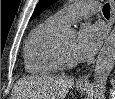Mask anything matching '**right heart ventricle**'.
Segmentation results:
<instances>
[{
  "label": "right heart ventricle",
  "mask_w": 115,
  "mask_h": 99,
  "mask_svg": "<svg viewBox=\"0 0 115 99\" xmlns=\"http://www.w3.org/2000/svg\"><path fill=\"white\" fill-rule=\"evenodd\" d=\"M61 29L62 26L48 19L30 32L24 45V63L28 73L45 76L62 69L56 57V37Z\"/></svg>",
  "instance_id": "obj_1"
}]
</instances>
